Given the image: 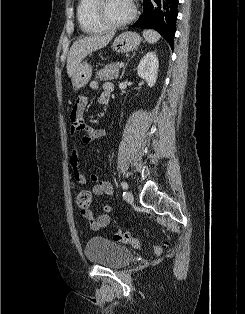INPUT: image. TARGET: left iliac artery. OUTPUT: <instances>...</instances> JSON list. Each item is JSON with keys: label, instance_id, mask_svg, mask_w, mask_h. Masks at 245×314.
<instances>
[{"label": "left iliac artery", "instance_id": "1", "mask_svg": "<svg viewBox=\"0 0 245 314\" xmlns=\"http://www.w3.org/2000/svg\"><path fill=\"white\" fill-rule=\"evenodd\" d=\"M121 186L123 189H128V184L126 182H121Z\"/></svg>", "mask_w": 245, "mask_h": 314}]
</instances>
